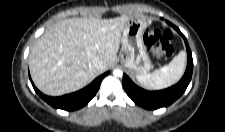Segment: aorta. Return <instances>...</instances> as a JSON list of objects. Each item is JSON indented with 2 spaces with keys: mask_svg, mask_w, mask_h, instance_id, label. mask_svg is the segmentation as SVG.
I'll use <instances>...</instances> for the list:
<instances>
[{
  "mask_svg": "<svg viewBox=\"0 0 225 132\" xmlns=\"http://www.w3.org/2000/svg\"><path fill=\"white\" fill-rule=\"evenodd\" d=\"M113 75L116 76V77H122L123 76V71L119 68L117 69H114L113 70Z\"/></svg>",
  "mask_w": 225,
  "mask_h": 132,
  "instance_id": "1",
  "label": "aorta"
}]
</instances>
